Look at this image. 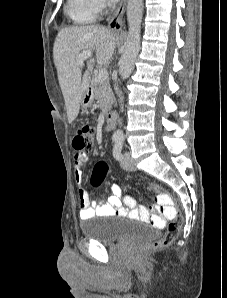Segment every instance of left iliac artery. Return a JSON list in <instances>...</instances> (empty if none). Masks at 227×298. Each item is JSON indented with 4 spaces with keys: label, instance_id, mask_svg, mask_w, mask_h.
<instances>
[{
    "label": "left iliac artery",
    "instance_id": "44dca946",
    "mask_svg": "<svg viewBox=\"0 0 227 298\" xmlns=\"http://www.w3.org/2000/svg\"><path fill=\"white\" fill-rule=\"evenodd\" d=\"M122 145H123V139H120L114 145L113 156L116 160H121L122 159V154H121Z\"/></svg>",
    "mask_w": 227,
    "mask_h": 298
}]
</instances>
